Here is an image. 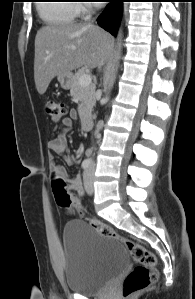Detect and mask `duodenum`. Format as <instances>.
<instances>
[{
  "instance_id": "410a0bca",
  "label": "duodenum",
  "mask_w": 195,
  "mask_h": 299,
  "mask_svg": "<svg viewBox=\"0 0 195 299\" xmlns=\"http://www.w3.org/2000/svg\"><path fill=\"white\" fill-rule=\"evenodd\" d=\"M82 126L86 129L92 126V116L88 112H84L80 116Z\"/></svg>"
}]
</instances>
